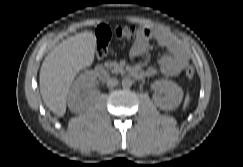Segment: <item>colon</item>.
<instances>
[{
  "mask_svg": "<svg viewBox=\"0 0 243 167\" xmlns=\"http://www.w3.org/2000/svg\"><path fill=\"white\" fill-rule=\"evenodd\" d=\"M141 28L136 25H122L115 29L117 37L124 40H133L137 37ZM111 38V29L107 25H100L96 30V54L99 58H104L108 52L109 41ZM195 75L193 66L188 65L185 69V76L192 79Z\"/></svg>",
  "mask_w": 243,
  "mask_h": 167,
  "instance_id": "1",
  "label": "colon"
}]
</instances>
